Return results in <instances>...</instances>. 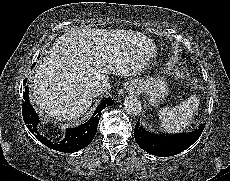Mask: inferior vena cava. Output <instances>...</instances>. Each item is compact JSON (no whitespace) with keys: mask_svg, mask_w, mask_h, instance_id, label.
Here are the masks:
<instances>
[{"mask_svg":"<svg viewBox=\"0 0 230 181\" xmlns=\"http://www.w3.org/2000/svg\"><path fill=\"white\" fill-rule=\"evenodd\" d=\"M111 89L109 82L104 83H95L91 87V93L94 97L101 96L105 93H107Z\"/></svg>","mask_w":230,"mask_h":181,"instance_id":"obj_1","label":"inferior vena cava"}]
</instances>
